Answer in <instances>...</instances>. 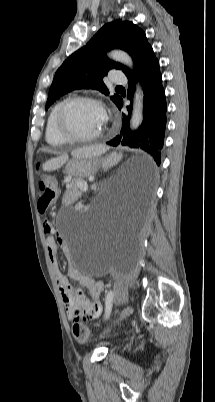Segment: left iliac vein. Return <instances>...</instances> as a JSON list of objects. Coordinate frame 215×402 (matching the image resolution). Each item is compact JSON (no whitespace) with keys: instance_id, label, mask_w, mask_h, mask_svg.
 <instances>
[{"instance_id":"4c4485c4","label":"left iliac vein","mask_w":215,"mask_h":402,"mask_svg":"<svg viewBox=\"0 0 215 402\" xmlns=\"http://www.w3.org/2000/svg\"><path fill=\"white\" fill-rule=\"evenodd\" d=\"M133 312V308L131 306H127L126 308L123 309L121 312L119 318L116 320V323L125 319L126 317L130 316Z\"/></svg>"}]
</instances>
